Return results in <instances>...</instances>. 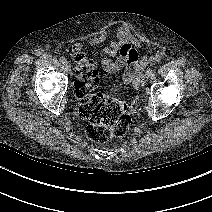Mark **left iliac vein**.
I'll list each match as a JSON object with an SVG mask.
<instances>
[{"instance_id":"obj_1","label":"left iliac vein","mask_w":212,"mask_h":212,"mask_svg":"<svg viewBox=\"0 0 212 212\" xmlns=\"http://www.w3.org/2000/svg\"><path fill=\"white\" fill-rule=\"evenodd\" d=\"M148 80H149V76L145 74L141 79V86L144 87L146 83L148 82Z\"/></svg>"}]
</instances>
